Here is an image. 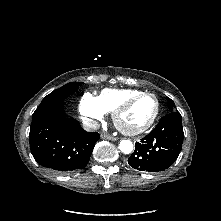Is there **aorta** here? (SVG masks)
<instances>
[{
	"mask_svg": "<svg viewBox=\"0 0 221 221\" xmlns=\"http://www.w3.org/2000/svg\"><path fill=\"white\" fill-rule=\"evenodd\" d=\"M119 149L124 154H130L133 151V144L130 140H121L119 143Z\"/></svg>",
	"mask_w": 221,
	"mask_h": 221,
	"instance_id": "obj_1",
	"label": "aorta"
}]
</instances>
